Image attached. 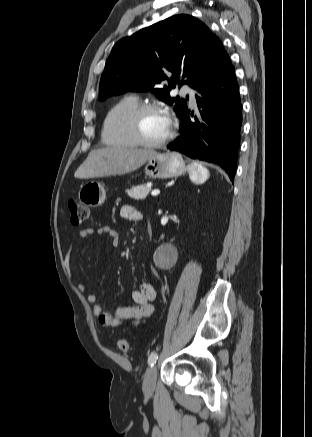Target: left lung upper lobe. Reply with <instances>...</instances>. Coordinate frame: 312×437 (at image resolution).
<instances>
[{
    "label": "left lung upper lobe",
    "instance_id": "left-lung-upper-lobe-1",
    "mask_svg": "<svg viewBox=\"0 0 312 437\" xmlns=\"http://www.w3.org/2000/svg\"><path fill=\"white\" fill-rule=\"evenodd\" d=\"M224 53L219 38L195 17H169L114 45L101 77L99 100L127 91H151L161 101L175 103L180 117L186 100L171 98L170 90L176 84L196 89ZM166 80L168 87L157 88Z\"/></svg>",
    "mask_w": 312,
    "mask_h": 437
}]
</instances>
